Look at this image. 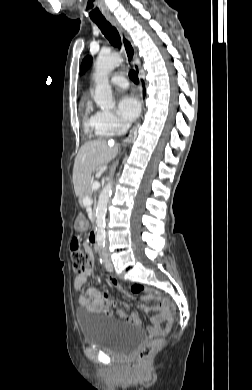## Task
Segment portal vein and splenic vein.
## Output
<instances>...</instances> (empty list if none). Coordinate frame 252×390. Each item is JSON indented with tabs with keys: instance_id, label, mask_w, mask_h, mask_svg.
Listing matches in <instances>:
<instances>
[{
	"instance_id": "portal-vein-and-splenic-vein-1",
	"label": "portal vein and splenic vein",
	"mask_w": 252,
	"mask_h": 390,
	"mask_svg": "<svg viewBox=\"0 0 252 390\" xmlns=\"http://www.w3.org/2000/svg\"><path fill=\"white\" fill-rule=\"evenodd\" d=\"M99 187H100V183H99L98 181L93 182V184H92V191L97 190ZM83 202H84L85 205H90V204H92V198H91V196L86 197V198L83 200Z\"/></svg>"
}]
</instances>
